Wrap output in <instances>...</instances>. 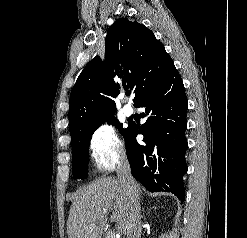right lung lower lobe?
<instances>
[{"mask_svg": "<svg viewBox=\"0 0 247 238\" xmlns=\"http://www.w3.org/2000/svg\"><path fill=\"white\" fill-rule=\"evenodd\" d=\"M134 106L144 108L143 117L148 118L142 126L129 124L124 136L133 177L147 190L169 191L183 202L188 101L177 69L174 67ZM138 134L144 136L141 144L136 141Z\"/></svg>", "mask_w": 247, "mask_h": 238, "instance_id": "obj_1", "label": "right lung lower lobe"}]
</instances>
